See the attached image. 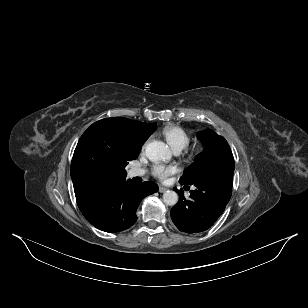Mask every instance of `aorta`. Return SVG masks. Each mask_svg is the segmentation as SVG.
<instances>
[{"instance_id": "obj_1", "label": "aorta", "mask_w": 308, "mask_h": 308, "mask_svg": "<svg viewBox=\"0 0 308 308\" xmlns=\"http://www.w3.org/2000/svg\"><path fill=\"white\" fill-rule=\"evenodd\" d=\"M145 152L147 157L154 162L168 160L172 156L169 147L161 141L149 143ZM163 202L169 206L175 205L178 202V194L174 191H166L163 194Z\"/></svg>"}]
</instances>
